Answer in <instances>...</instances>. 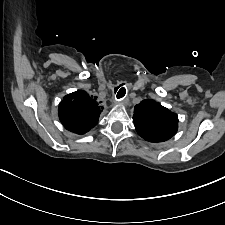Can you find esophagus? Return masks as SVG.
I'll list each match as a JSON object with an SVG mask.
<instances>
[{
  "instance_id": "34e87169",
  "label": "esophagus",
  "mask_w": 225,
  "mask_h": 225,
  "mask_svg": "<svg viewBox=\"0 0 225 225\" xmlns=\"http://www.w3.org/2000/svg\"><path fill=\"white\" fill-rule=\"evenodd\" d=\"M116 100H117L118 102H122V104H126V103H127V98H126V99H124V98H123V99H121V98L118 99V98H117Z\"/></svg>"
}]
</instances>
